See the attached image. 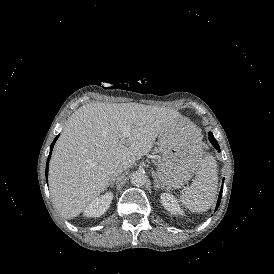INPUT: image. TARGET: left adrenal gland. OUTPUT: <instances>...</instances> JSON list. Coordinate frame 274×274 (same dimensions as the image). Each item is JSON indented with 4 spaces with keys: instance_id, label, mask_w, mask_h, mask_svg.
<instances>
[{
    "instance_id": "a2214340",
    "label": "left adrenal gland",
    "mask_w": 274,
    "mask_h": 274,
    "mask_svg": "<svg viewBox=\"0 0 274 274\" xmlns=\"http://www.w3.org/2000/svg\"><path fill=\"white\" fill-rule=\"evenodd\" d=\"M152 176H153V178H154V187H155L156 190H157V188H160V184H159L158 180L156 179V175H155V172H154V171H152Z\"/></svg>"
}]
</instances>
